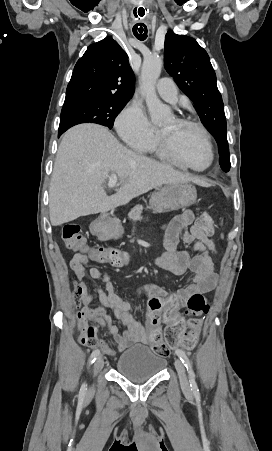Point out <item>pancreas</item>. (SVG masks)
Listing matches in <instances>:
<instances>
[{"label": "pancreas", "mask_w": 272, "mask_h": 451, "mask_svg": "<svg viewBox=\"0 0 272 451\" xmlns=\"http://www.w3.org/2000/svg\"><path fill=\"white\" fill-rule=\"evenodd\" d=\"M142 210H144L143 206H135V208H133V210H131V212H129L128 214L130 220H134L135 216L142 214ZM116 227H119V224Z\"/></svg>", "instance_id": "cf45deb5"}]
</instances>
